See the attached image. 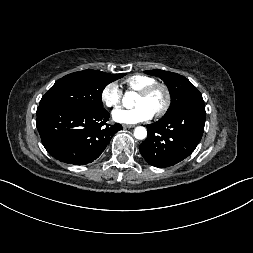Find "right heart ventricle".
<instances>
[{"label": "right heart ventricle", "instance_id": "obj_1", "mask_svg": "<svg viewBox=\"0 0 253 253\" xmlns=\"http://www.w3.org/2000/svg\"><path fill=\"white\" fill-rule=\"evenodd\" d=\"M155 82L156 80L153 77L142 74H135L124 80L126 87L134 91H140Z\"/></svg>", "mask_w": 253, "mask_h": 253}]
</instances>
